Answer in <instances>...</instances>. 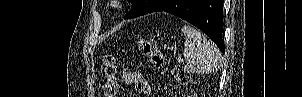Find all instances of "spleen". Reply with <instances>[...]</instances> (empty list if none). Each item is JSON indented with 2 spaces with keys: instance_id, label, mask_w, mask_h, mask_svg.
<instances>
[{
  "instance_id": "spleen-1",
  "label": "spleen",
  "mask_w": 302,
  "mask_h": 97,
  "mask_svg": "<svg viewBox=\"0 0 302 97\" xmlns=\"http://www.w3.org/2000/svg\"><path fill=\"white\" fill-rule=\"evenodd\" d=\"M181 30L186 37L183 51L186 70L198 74L217 71L221 65L219 49L193 27L184 25Z\"/></svg>"
}]
</instances>
